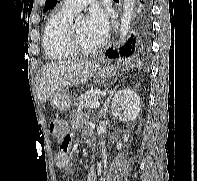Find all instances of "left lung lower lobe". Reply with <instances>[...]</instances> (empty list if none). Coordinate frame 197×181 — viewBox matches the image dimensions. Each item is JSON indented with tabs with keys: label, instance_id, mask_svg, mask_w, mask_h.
<instances>
[{
	"label": "left lung lower lobe",
	"instance_id": "obj_1",
	"mask_svg": "<svg viewBox=\"0 0 197 181\" xmlns=\"http://www.w3.org/2000/svg\"><path fill=\"white\" fill-rule=\"evenodd\" d=\"M151 37V0H138L133 29L119 51L110 48L105 55L109 58L139 59L149 53Z\"/></svg>",
	"mask_w": 197,
	"mask_h": 181
}]
</instances>
